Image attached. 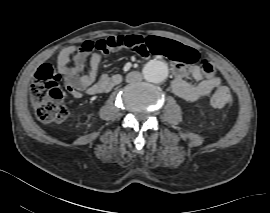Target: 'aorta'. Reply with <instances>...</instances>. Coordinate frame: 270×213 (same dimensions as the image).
Masks as SVG:
<instances>
[{
    "mask_svg": "<svg viewBox=\"0 0 270 213\" xmlns=\"http://www.w3.org/2000/svg\"><path fill=\"white\" fill-rule=\"evenodd\" d=\"M143 74L148 82L161 83L168 75V68L164 62L152 60L145 65Z\"/></svg>",
    "mask_w": 270,
    "mask_h": 213,
    "instance_id": "aorta-1",
    "label": "aorta"
}]
</instances>
